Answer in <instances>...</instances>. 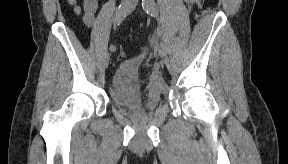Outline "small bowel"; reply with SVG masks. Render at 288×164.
Here are the masks:
<instances>
[{
	"instance_id": "obj_1",
	"label": "small bowel",
	"mask_w": 288,
	"mask_h": 164,
	"mask_svg": "<svg viewBox=\"0 0 288 164\" xmlns=\"http://www.w3.org/2000/svg\"><path fill=\"white\" fill-rule=\"evenodd\" d=\"M98 7L97 0H85L83 7V20L87 26H91L95 19V13ZM74 12L77 15L81 14V9L79 6L74 8Z\"/></svg>"
}]
</instances>
